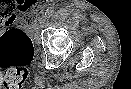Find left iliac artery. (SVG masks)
<instances>
[{
  "label": "left iliac artery",
  "mask_w": 131,
  "mask_h": 89,
  "mask_svg": "<svg viewBox=\"0 0 131 89\" xmlns=\"http://www.w3.org/2000/svg\"><path fill=\"white\" fill-rule=\"evenodd\" d=\"M54 12H55V10H54V8L53 7H50V8H48L47 10H46V12H45V15H46V17H51L53 14H54Z\"/></svg>",
  "instance_id": "left-iliac-artery-1"
}]
</instances>
